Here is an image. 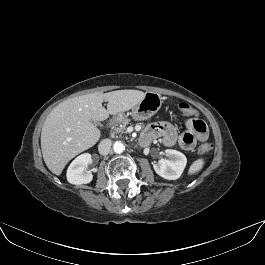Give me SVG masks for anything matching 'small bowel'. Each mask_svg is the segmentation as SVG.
<instances>
[{
  "label": "small bowel",
  "mask_w": 265,
  "mask_h": 265,
  "mask_svg": "<svg viewBox=\"0 0 265 265\" xmlns=\"http://www.w3.org/2000/svg\"><path fill=\"white\" fill-rule=\"evenodd\" d=\"M186 130L178 135L175 127L167 122L153 123L147 127L141 140L147 145L160 138L165 146L174 145L177 140L180 146L185 150H192L197 141L204 142L208 138V129L206 124L197 118L184 119Z\"/></svg>",
  "instance_id": "c3829d8e"
}]
</instances>
